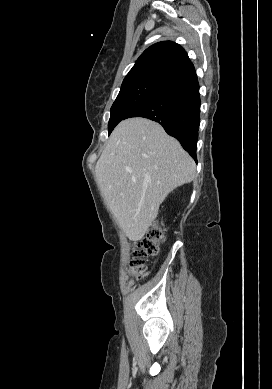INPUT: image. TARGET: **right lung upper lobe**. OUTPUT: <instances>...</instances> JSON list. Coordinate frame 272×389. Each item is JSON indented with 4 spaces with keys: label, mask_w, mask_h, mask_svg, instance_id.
Instances as JSON below:
<instances>
[{
    "label": "right lung upper lobe",
    "mask_w": 272,
    "mask_h": 389,
    "mask_svg": "<svg viewBox=\"0 0 272 389\" xmlns=\"http://www.w3.org/2000/svg\"><path fill=\"white\" fill-rule=\"evenodd\" d=\"M195 72L186 51L172 41H163L147 48L125 77L123 84L149 81L167 85Z\"/></svg>",
    "instance_id": "right-lung-upper-lobe-1"
}]
</instances>
